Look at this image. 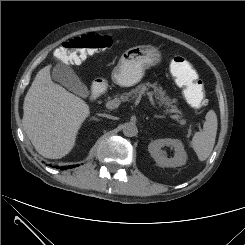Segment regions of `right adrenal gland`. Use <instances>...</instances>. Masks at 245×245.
Wrapping results in <instances>:
<instances>
[{"instance_id": "obj_1", "label": "right adrenal gland", "mask_w": 245, "mask_h": 245, "mask_svg": "<svg viewBox=\"0 0 245 245\" xmlns=\"http://www.w3.org/2000/svg\"><path fill=\"white\" fill-rule=\"evenodd\" d=\"M93 120H95V121H99L97 118H93Z\"/></svg>"}]
</instances>
